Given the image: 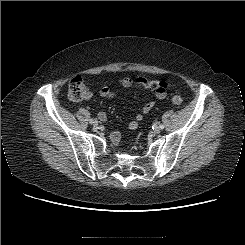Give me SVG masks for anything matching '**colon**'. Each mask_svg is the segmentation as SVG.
<instances>
[{
    "label": "colon",
    "mask_w": 245,
    "mask_h": 245,
    "mask_svg": "<svg viewBox=\"0 0 245 245\" xmlns=\"http://www.w3.org/2000/svg\"><path fill=\"white\" fill-rule=\"evenodd\" d=\"M125 85L134 84L141 88L155 91L156 93L164 94L168 90L166 82L153 80L149 78L139 77L134 80H125ZM68 97L72 101H81L86 97V86L84 80L80 76L72 78L68 84ZM172 102L175 105H181L183 99L181 96L175 95L172 97Z\"/></svg>",
    "instance_id": "1"
}]
</instances>
